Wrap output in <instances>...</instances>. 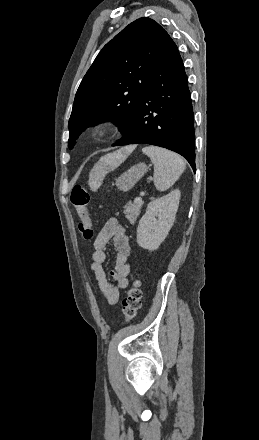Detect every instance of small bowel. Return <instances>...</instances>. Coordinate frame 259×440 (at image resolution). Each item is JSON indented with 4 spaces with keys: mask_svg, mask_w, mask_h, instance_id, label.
<instances>
[{
    "mask_svg": "<svg viewBox=\"0 0 259 440\" xmlns=\"http://www.w3.org/2000/svg\"><path fill=\"white\" fill-rule=\"evenodd\" d=\"M109 243H112L116 252L114 269L109 272V276L115 282L114 284L109 281L108 274L104 269L106 248ZM93 247L90 270L107 303L116 304L119 301L121 291L129 285V274L131 272L129 238L117 219L110 218L107 220L94 239Z\"/></svg>",
    "mask_w": 259,
    "mask_h": 440,
    "instance_id": "1",
    "label": "small bowel"
}]
</instances>
